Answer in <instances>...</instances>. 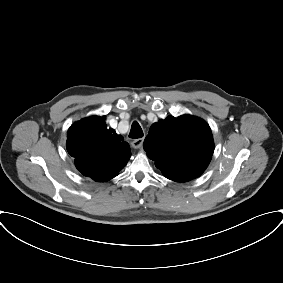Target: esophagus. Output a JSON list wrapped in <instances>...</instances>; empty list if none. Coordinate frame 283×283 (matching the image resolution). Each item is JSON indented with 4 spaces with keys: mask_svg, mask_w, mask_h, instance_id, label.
Segmentation results:
<instances>
[{
    "mask_svg": "<svg viewBox=\"0 0 283 283\" xmlns=\"http://www.w3.org/2000/svg\"><path fill=\"white\" fill-rule=\"evenodd\" d=\"M143 141H144L143 138H138V139L133 140L131 142V145L133 148L138 149L142 147Z\"/></svg>",
    "mask_w": 283,
    "mask_h": 283,
    "instance_id": "obj_1",
    "label": "esophagus"
}]
</instances>
